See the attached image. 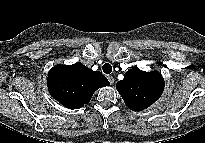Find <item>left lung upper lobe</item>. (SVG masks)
<instances>
[{"mask_svg": "<svg viewBox=\"0 0 205 143\" xmlns=\"http://www.w3.org/2000/svg\"><path fill=\"white\" fill-rule=\"evenodd\" d=\"M116 89L132 111H141L160 98L164 80L158 71L144 72L134 68L117 82Z\"/></svg>", "mask_w": 205, "mask_h": 143, "instance_id": "1", "label": "left lung upper lobe"}]
</instances>
